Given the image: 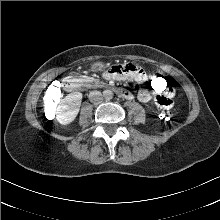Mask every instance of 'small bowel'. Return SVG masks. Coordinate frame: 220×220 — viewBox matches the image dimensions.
<instances>
[{
    "mask_svg": "<svg viewBox=\"0 0 220 220\" xmlns=\"http://www.w3.org/2000/svg\"><path fill=\"white\" fill-rule=\"evenodd\" d=\"M101 78L104 81L109 80H124V79H133L138 83H148L149 78L147 77L146 73L141 69V67L136 62H124L119 63L113 66L107 67L101 73ZM129 95L126 99H132L133 95L128 92ZM175 95V91L173 87L168 85L167 89L161 93H155L156 96H165L167 98L172 99ZM137 98L141 102H148L151 100L152 96L149 89H141L138 92Z\"/></svg>",
    "mask_w": 220,
    "mask_h": 220,
    "instance_id": "obj_1",
    "label": "small bowel"
}]
</instances>
